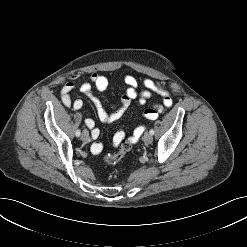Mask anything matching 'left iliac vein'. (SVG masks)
Returning <instances> with one entry per match:
<instances>
[{
  "label": "left iliac vein",
  "mask_w": 247,
  "mask_h": 247,
  "mask_svg": "<svg viewBox=\"0 0 247 247\" xmlns=\"http://www.w3.org/2000/svg\"><path fill=\"white\" fill-rule=\"evenodd\" d=\"M143 141L146 143V144H150L152 143L153 141V137L152 135L150 134V132H146L143 136Z\"/></svg>",
  "instance_id": "obj_1"
}]
</instances>
